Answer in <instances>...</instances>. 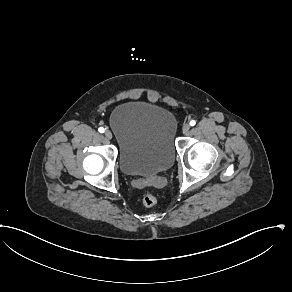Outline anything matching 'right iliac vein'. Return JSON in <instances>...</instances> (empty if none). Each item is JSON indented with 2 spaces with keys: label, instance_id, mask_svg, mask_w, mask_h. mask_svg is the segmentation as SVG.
<instances>
[{
  "label": "right iliac vein",
  "instance_id": "obj_1",
  "mask_svg": "<svg viewBox=\"0 0 292 292\" xmlns=\"http://www.w3.org/2000/svg\"><path fill=\"white\" fill-rule=\"evenodd\" d=\"M104 135L107 139H109V140L112 139V133L109 130H106Z\"/></svg>",
  "mask_w": 292,
  "mask_h": 292
}]
</instances>
